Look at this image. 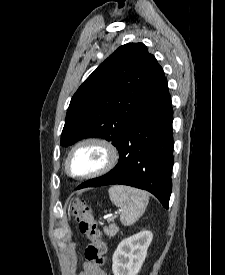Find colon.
<instances>
[{
  "label": "colon",
  "mask_w": 225,
  "mask_h": 275,
  "mask_svg": "<svg viewBox=\"0 0 225 275\" xmlns=\"http://www.w3.org/2000/svg\"><path fill=\"white\" fill-rule=\"evenodd\" d=\"M70 213L79 223L80 230L88 241L84 251L85 258L98 267L103 266L107 250L106 244L91 207L84 200L76 199L72 203Z\"/></svg>",
  "instance_id": "1"
}]
</instances>
